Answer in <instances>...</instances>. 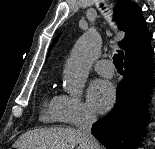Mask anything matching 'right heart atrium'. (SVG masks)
<instances>
[{"instance_id": "1", "label": "right heart atrium", "mask_w": 155, "mask_h": 149, "mask_svg": "<svg viewBox=\"0 0 155 149\" xmlns=\"http://www.w3.org/2000/svg\"><path fill=\"white\" fill-rule=\"evenodd\" d=\"M59 108L60 121L68 125L80 126L91 124L97 119L92 108L75 95H60Z\"/></svg>"}]
</instances>
